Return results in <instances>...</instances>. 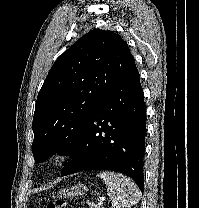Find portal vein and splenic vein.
Masks as SVG:
<instances>
[{
    "mask_svg": "<svg viewBox=\"0 0 199 208\" xmlns=\"http://www.w3.org/2000/svg\"><path fill=\"white\" fill-rule=\"evenodd\" d=\"M104 201H105V199H103V198L100 199L98 205H100V206L103 205V202H104Z\"/></svg>",
    "mask_w": 199,
    "mask_h": 208,
    "instance_id": "18ae733b",
    "label": "portal vein and splenic vein"
}]
</instances>
